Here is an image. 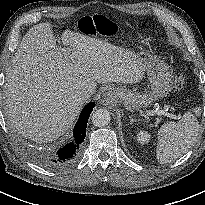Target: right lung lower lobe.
<instances>
[{"label":"right lung lower lobe","instance_id":"1","mask_svg":"<svg viewBox=\"0 0 205 205\" xmlns=\"http://www.w3.org/2000/svg\"><path fill=\"white\" fill-rule=\"evenodd\" d=\"M94 106L95 103L91 102L87 104L82 110L77 124L74 128L73 142H70L69 144L61 148L56 155L42 153L35 154V152H33V156L35 157V159L42 165L55 169L64 168L72 165L77 159L80 144L83 142L86 136L88 118Z\"/></svg>","mask_w":205,"mask_h":205}]
</instances>
